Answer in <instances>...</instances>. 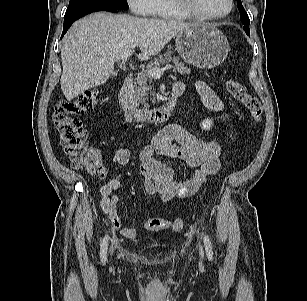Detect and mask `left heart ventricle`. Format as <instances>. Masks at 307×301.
I'll use <instances>...</instances> for the list:
<instances>
[{"label": "left heart ventricle", "instance_id": "obj_1", "mask_svg": "<svg viewBox=\"0 0 307 301\" xmlns=\"http://www.w3.org/2000/svg\"><path fill=\"white\" fill-rule=\"evenodd\" d=\"M199 11L207 14H222L229 9V0H192Z\"/></svg>", "mask_w": 307, "mask_h": 301}]
</instances>
